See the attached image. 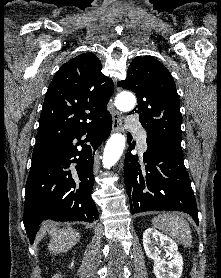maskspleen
I'll list each match as a JSON object with an SVG mask.
<instances>
[{
	"instance_id": "1",
	"label": "spleen",
	"mask_w": 221,
	"mask_h": 278,
	"mask_svg": "<svg viewBox=\"0 0 221 278\" xmlns=\"http://www.w3.org/2000/svg\"><path fill=\"white\" fill-rule=\"evenodd\" d=\"M154 227L170 235L186 247L192 245V235L188 222L179 215L163 213L152 219Z\"/></svg>"
}]
</instances>
